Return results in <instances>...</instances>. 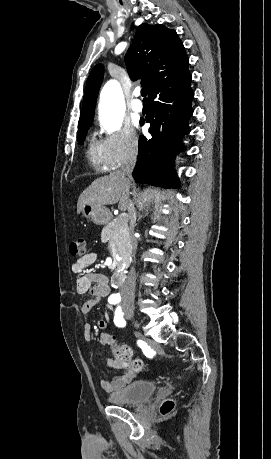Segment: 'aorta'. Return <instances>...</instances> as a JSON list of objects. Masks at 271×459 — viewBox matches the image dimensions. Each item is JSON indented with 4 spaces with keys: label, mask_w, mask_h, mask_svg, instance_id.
Returning a JSON list of instances; mask_svg holds the SVG:
<instances>
[{
    "label": "aorta",
    "mask_w": 271,
    "mask_h": 459,
    "mask_svg": "<svg viewBox=\"0 0 271 459\" xmlns=\"http://www.w3.org/2000/svg\"><path fill=\"white\" fill-rule=\"evenodd\" d=\"M124 117V95L116 80L108 81L100 94L99 118L107 131L118 130Z\"/></svg>",
    "instance_id": "aorta-1"
}]
</instances>
